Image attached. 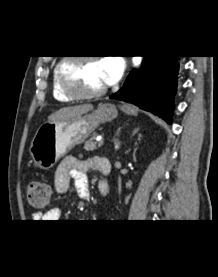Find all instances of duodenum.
I'll list each match as a JSON object with an SVG mask.
<instances>
[{
    "instance_id": "410a0bca",
    "label": "duodenum",
    "mask_w": 218,
    "mask_h": 277,
    "mask_svg": "<svg viewBox=\"0 0 218 277\" xmlns=\"http://www.w3.org/2000/svg\"><path fill=\"white\" fill-rule=\"evenodd\" d=\"M100 161L109 163V161L105 158H100ZM98 190H99L101 195H107L110 191L109 182L107 180H104V179L100 180L98 182Z\"/></svg>"
}]
</instances>
